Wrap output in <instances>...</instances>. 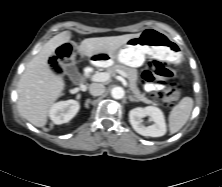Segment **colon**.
<instances>
[{
  "label": "colon",
  "mask_w": 222,
  "mask_h": 187,
  "mask_svg": "<svg viewBox=\"0 0 222 187\" xmlns=\"http://www.w3.org/2000/svg\"><path fill=\"white\" fill-rule=\"evenodd\" d=\"M79 59L80 55L69 45H62L49 60V68L55 76L59 77L63 75L66 66L79 61ZM173 76L174 72L159 61L149 62L142 74L146 82L158 81L163 85V99L168 104H174L180 97L178 84L169 80Z\"/></svg>",
  "instance_id": "5ec220e1"
}]
</instances>
